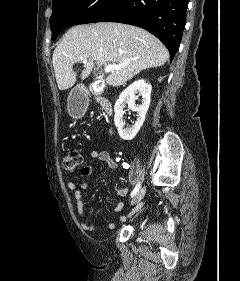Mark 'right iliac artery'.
I'll list each match as a JSON object with an SVG mask.
<instances>
[{
	"mask_svg": "<svg viewBox=\"0 0 240 281\" xmlns=\"http://www.w3.org/2000/svg\"><path fill=\"white\" fill-rule=\"evenodd\" d=\"M140 189V184H137L133 191L131 192V197L135 196Z\"/></svg>",
	"mask_w": 240,
	"mask_h": 281,
	"instance_id": "1",
	"label": "right iliac artery"
}]
</instances>
